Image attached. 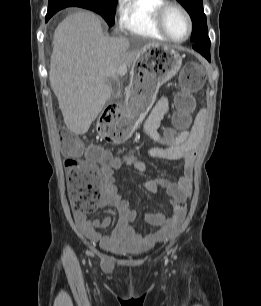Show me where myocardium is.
<instances>
[{
	"mask_svg": "<svg viewBox=\"0 0 261 306\" xmlns=\"http://www.w3.org/2000/svg\"><path fill=\"white\" fill-rule=\"evenodd\" d=\"M171 8L177 9L179 10L183 16L186 19L187 22V34L183 39H174L168 32L166 26H165V22H164V18L165 15L167 13V11ZM155 23L156 26L158 27L159 31L162 33V35L169 41L173 42V43H183L186 40L189 39V37L192 34V30H193V23H192V19L191 16L189 14V12L186 10V8L184 6H182L181 4L174 2V1H166L163 5H161L158 10L156 11L155 14Z\"/></svg>",
	"mask_w": 261,
	"mask_h": 306,
	"instance_id": "obj_1",
	"label": "myocardium"
}]
</instances>
